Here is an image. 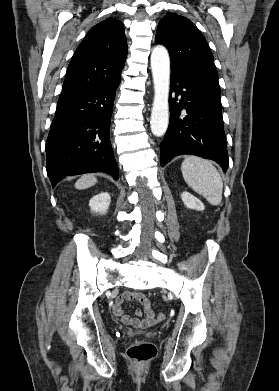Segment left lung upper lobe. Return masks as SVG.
Returning a JSON list of instances; mask_svg holds the SVG:
<instances>
[{"mask_svg":"<svg viewBox=\"0 0 279 391\" xmlns=\"http://www.w3.org/2000/svg\"><path fill=\"white\" fill-rule=\"evenodd\" d=\"M156 43L169 51L171 73L221 96L211 50L205 37L189 19L174 13L164 16L158 24Z\"/></svg>","mask_w":279,"mask_h":391,"instance_id":"left-lung-upper-lobe-1","label":"left lung upper lobe"}]
</instances>
